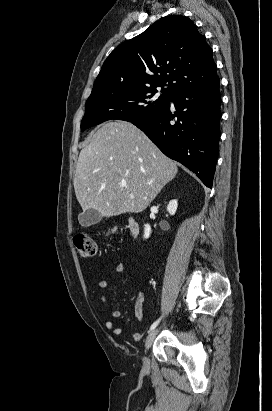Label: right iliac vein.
Returning <instances> with one entry per match:
<instances>
[{
	"label": "right iliac vein",
	"instance_id": "right-iliac-vein-1",
	"mask_svg": "<svg viewBox=\"0 0 272 411\" xmlns=\"http://www.w3.org/2000/svg\"><path fill=\"white\" fill-rule=\"evenodd\" d=\"M157 333H158V329L152 330L146 338V341H145V355L143 357V366H144L145 369L149 368V359L146 356V353H147L148 349L151 347Z\"/></svg>",
	"mask_w": 272,
	"mask_h": 411
}]
</instances>
